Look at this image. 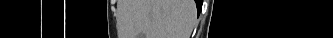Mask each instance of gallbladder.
I'll use <instances>...</instances> for the list:
<instances>
[{
    "instance_id": "bac80fb5",
    "label": "gallbladder",
    "mask_w": 333,
    "mask_h": 38,
    "mask_svg": "<svg viewBox=\"0 0 333 38\" xmlns=\"http://www.w3.org/2000/svg\"><path fill=\"white\" fill-rule=\"evenodd\" d=\"M145 36L143 34H140V38H144Z\"/></svg>"
}]
</instances>
